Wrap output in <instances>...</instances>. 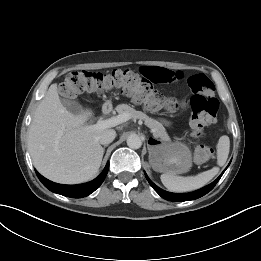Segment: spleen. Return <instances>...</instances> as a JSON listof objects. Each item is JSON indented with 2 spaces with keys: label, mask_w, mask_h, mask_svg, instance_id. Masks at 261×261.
<instances>
[{
  "label": "spleen",
  "mask_w": 261,
  "mask_h": 261,
  "mask_svg": "<svg viewBox=\"0 0 261 261\" xmlns=\"http://www.w3.org/2000/svg\"><path fill=\"white\" fill-rule=\"evenodd\" d=\"M230 149L229 137L224 135L217 144V164L223 166L228 158ZM219 172L218 167L202 172L196 176L181 177L171 174H162L160 179L163 185L172 192H189L205 186Z\"/></svg>",
  "instance_id": "1"
}]
</instances>
